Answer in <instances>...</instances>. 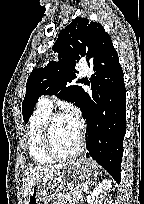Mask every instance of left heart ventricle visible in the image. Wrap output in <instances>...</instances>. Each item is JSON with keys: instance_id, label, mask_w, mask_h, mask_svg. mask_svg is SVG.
Returning <instances> with one entry per match:
<instances>
[{"instance_id": "1", "label": "left heart ventricle", "mask_w": 144, "mask_h": 204, "mask_svg": "<svg viewBox=\"0 0 144 204\" xmlns=\"http://www.w3.org/2000/svg\"><path fill=\"white\" fill-rule=\"evenodd\" d=\"M80 129L66 117L58 118L53 127V142L60 153L75 150L79 140Z\"/></svg>"}]
</instances>
